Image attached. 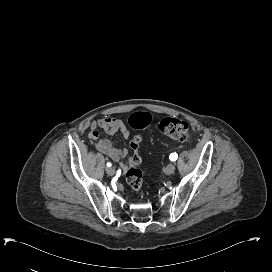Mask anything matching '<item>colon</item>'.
Listing matches in <instances>:
<instances>
[{
	"label": "colon",
	"instance_id": "1",
	"mask_svg": "<svg viewBox=\"0 0 272 272\" xmlns=\"http://www.w3.org/2000/svg\"><path fill=\"white\" fill-rule=\"evenodd\" d=\"M151 118L148 114H132L128 119V124L135 130H143L150 124ZM157 128L164 135L176 139L181 142H187L189 140V125L186 121L174 118L165 117L159 121ZM140 144V137L135 135L131 141L130 146H136ZM126 181L130 188L138 192L142 185V173L136 166L132 165L126 173Z\"/></svg>",
	"mask_w": 272,
	"mask_h": 272
}]
</instances>
